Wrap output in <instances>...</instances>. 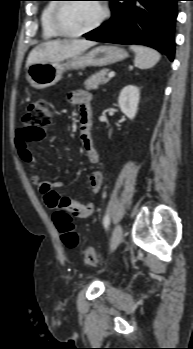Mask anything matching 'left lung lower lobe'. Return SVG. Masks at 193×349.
Masks as SVG:
<instances>
[{
  "label": "left lung lower lobe",
  "instance_id": "obj_1",
  "mask_svg": "<svg viewBox=\"0 0 193 349\" xmlns=\"http://www.w3.org/2000/svg\"><path fill=\"white\" fill-rule=\"evenodd\" d=\"M177 1L110 0V21L84 37L99 42L146 45L164 52L173 61Z\"/></svg>",
  "mask_w": 193,
  "mask_h": 349
}]
</instances>
